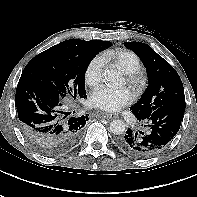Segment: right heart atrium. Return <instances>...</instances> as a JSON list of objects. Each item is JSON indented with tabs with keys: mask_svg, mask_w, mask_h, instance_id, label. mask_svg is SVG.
<instances>
[{
	"mask_svg": "<svg viewBox=\"0 0 197 197\" xmlns=\"http://www.w3.org/2000/svg\"><path fill=\"white\" fill-rule=\"evenodd\" d=\"M103 64V58L99 56L94 57L87 64L84 71V80L88 86L94 88L99 85L102 79Z\"/></svg>",
	"mask_w": 197,
	"mask_h": 197,
	"instance_id": "1",
	"label": "right heart atrium"
}]
</instances>
